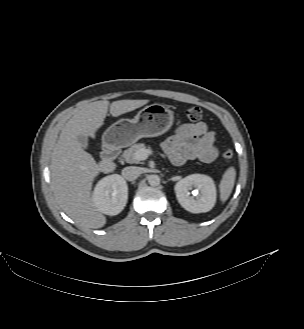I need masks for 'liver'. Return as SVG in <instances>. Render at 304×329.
Listing matches in <instances>:
<instances>
[{
  "mask_svg": "<svg viewBox=\"0 0 304 329\" xmlns=\"http://www.w3.org/2000/svg\"><path fill=\"white\" fill-rule=\"evenodd\" d=\"M149 100H119L110 104V114L118 117L131 112ZM108 101L86 104L66 123L51 157V185L54 196L63 211L76 223L88 228H101L106 217L95 207L91 188L99 172H112L116 165L110 160L97 163L91 154L83 150L78 135L95 137L104 124Z\"/></svg>",
  "mask_w": 304,
  "mask_h": 329,
  "instance_id": "obj_1",
  "label": "liver"
}]
</instances>
